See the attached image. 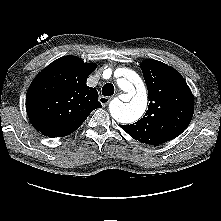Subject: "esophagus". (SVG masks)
Listing matches in <instances>:
<instances>
[{
  "mask_svg": "<svg viewBox=\"0 0 221 221\" xmlns=\"http://www.w3.org/2000/svg\"><path fill=\"white\" fill-rule=\"evenodd\" d=\"M111 100V97H105V96H100L99 97V102L103 105L106 106Z\"/></svg>",
  "mask_w": 221,
  "mask_h": 221,
  "instance_id": "obj_1",
  "label": "esophagus"
}]
</instances>
